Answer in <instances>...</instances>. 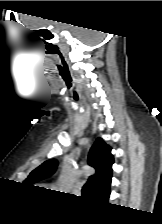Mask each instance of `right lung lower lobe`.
Listing matches in <instances>:
<instances>
[{"mask_svg":"<svg viewBox=\"0 0 162 224\" xmlns=\"http://www.w3.org/2000/svg\"><path fill=\"white\" fill-rule=\"evenodd\" d=\"M109 197H110V192L100 199L106 202V201H108Z\"/></svg>","mask_w":162,"mask_h":224,"instance_id":"1","label":"right lung lower lobe"}]
</instances>
